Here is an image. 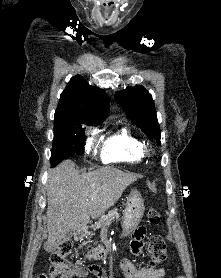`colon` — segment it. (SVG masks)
<instances>
[{
    "label": "colon",
    "mask_w": 221,
    "mask_h": 278,
    "mask_svg": "<svg viewBox=\"0 0 221 278\" xmlns=\"http://www.w3.org/2000/svg\"><path fill=\"white\" fill-rule=\"evenodd\" d=\"M147 217L148 222L152 225H157L161 221V215L156 209H150ZM71 249V241L62 242L51 254L48 273L40 275L39 278H68L74 270L73 263L67 260V256L71 252ZM147 251L150 255V262L153 266L162 263L167 256L164 239L158 235L151 236L148 241Z\"/></svg>",
    "instance_id": "colon-1"
}]
</instances>
